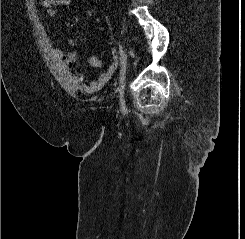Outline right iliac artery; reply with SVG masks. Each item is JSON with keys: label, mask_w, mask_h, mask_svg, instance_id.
Listing matches in <instances>:
<instances>
[{"label": "right iliac artery", "mask_w": 245, "mask_h": 239, "mask_svg": "<svg viewBox=\"0 0 245 239\" xmlns=\"http://www.w3.org/2000/svg\"><path fill=\"white\" fill-rule=\"evenodd\" d=\"M119 44V53H120V74L123 67L126 65V54L123 51V47Z\"/></svg>", "instance_id": "1"}]
</instances>
